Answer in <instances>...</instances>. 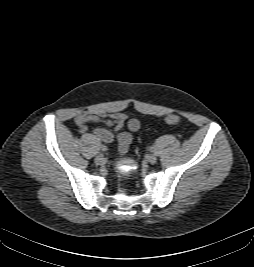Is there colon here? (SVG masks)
Returning <instances> with one entry per match:
<instances>
[{
  "mask_svg": "<svg viewBox=\"0 0 254 267\" xmlns=\"http://www.w3.org/2000/svg\"><path fill=\"white\" fill-rule=\"evenodd\" d=\"M165 122L169 125L177 124L179 122V116L170 114L165 118Z\"/></svg>",
  "mask_w": 254,
  "mask_h": 267,
  "instance_id": "5ec220e1",
  "label": "colon"
}]
</instances>
